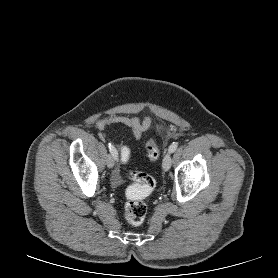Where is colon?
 I'll use <instances>...</instances> for the list:
<instances>
[{"instance_id": "5ec220e1", "label": "colon", "mask_w": 278, "mask_h": 278, "mask_svg": "<svg viewBox=\"0 0 278 278\" xmlns=\"http://www.w3.org/2000/svg\"><path fill=\"white\" fill-rule=\"evenodd\" d=\"M145 150L150 160L156 161L159 158V147L156 141H147ZM129 156V148L123 147L122 160L126 162ZM128 176L133 183L127 189L124 212L127 221L132 225L138 226L145 220L147 206L144 199L153 191L155 180L152 176L142 171H129Z\"/></svg>"}]
</instances>
